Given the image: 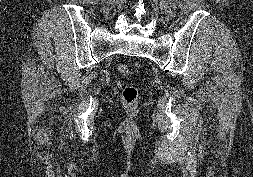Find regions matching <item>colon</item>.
<instances>
[{
	"label": "colon",
	"instance_id": "obj_1",
	"mask_svg": "<svg viewBox=\"0 0 253 177\" xmlns=\"http://www.w3.org/2000/svg\"><path fill=\"white\" fill-rule=\"evenodd\" d=\"M117 70L119 71L120 74L124 76L130 73L129 66L125 63L118 64ZM138 97H139V91L135 86H127L122 91L123 103L128 108L133 109L136 107L137 102H138Z\"/></svg>",
	"mask_w": 253,
	"mask_h": 177
}]
</instances>
